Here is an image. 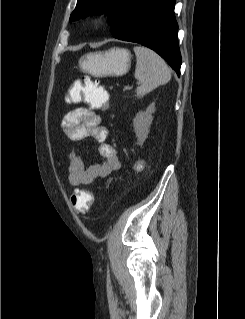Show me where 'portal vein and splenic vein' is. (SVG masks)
<instances>
[{"label":"portal vein and splenic vein","instance_id":"1","mask_svg":"<svg viewBox=\"0 0 245 319\" xmlns=\"http://www.w3.org/2000/svg\"><path fill=\"white\" fill-rule=\"evenodd\" d=\"M128 89H130V87H128V86H125V87H124V90H128Z\"/></svg>","mask_w":245,"mask_h":319}]
</instances>
